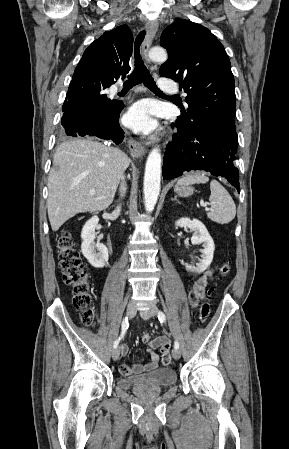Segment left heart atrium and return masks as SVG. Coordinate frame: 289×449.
<instances>
[{
	"instance_id": "1",
	"label": "left heart atrium",
	"mask_w": 289,
	"mask_h": 449,
	"mask_svg": "<svg viewBox=\"0 0 289 449\" xmlns=\"http://www.w3.org/2000/svg\"><path fill=\"white\" fill-rule=\"evenodd\" d=\"M124 123L137 132L145 134L152 132L157 127L152 105L148 101L133 104L124 116Z\"/></svg>"
}]
</instances>
